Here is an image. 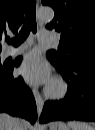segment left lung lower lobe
<instances>
[{
	"instance_id": "1",
	"label": "left lung lower lobe",
	"mask_w": 95,
	"mask_h": 130,
	"mask_svg": "<svg viewBox=\"0 0 95 130\" xmlns=\"http://www.w3.org/2000/svg\"><path fill=\"white\" fill-rule=\"evenodd\" d=\"M47 58L65 78L68 91L63 100L48 101L44 104L39 121H95V63H78L64 68L48 56Z\"/></svg>"
}]
</instances>
